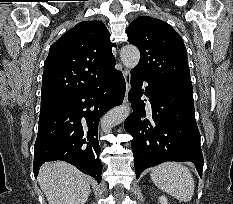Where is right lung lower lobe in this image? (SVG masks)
Here are the masks:
<instances>
[{
    "label": "right lung lower lobe",
    "mask_w": 233,
    "mask_h": 204,
    "mask_svg": "<svg viewBox=\"0 0 233 204\" xmlns=\"http://www.w3.org/2000/svg\"><path fill=\"white\" fill-rule=\"evenodd\" d=\"M125 88L122 73L113 68L95 86L68 97L40 116L34 146L35 177L44 162L63 160L101 182L98 123L105 112L123 102Z\"/></svg>",
    "instance_id": "obj_1"
}]
</instances>
